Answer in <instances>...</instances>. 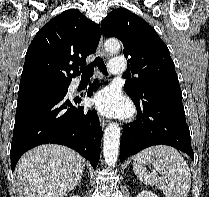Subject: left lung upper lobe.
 I'll return each mask as SVG.
<instances>
[{"instance_id": "1", "label": "left lung upper lobe", "mask_w": 209, "mask_h": 197, "mask_svg": "<svg viewBox=\"0 0 209 197\" xmlns=\"http://www.w3.org/2000/svg\"><path fill=\"white\" fill-rule=\"evenodd\" d=\"M101 30L105 37H116L123 42L127 68L138 75L125 83L128 95L181 90L168 47L146 21L125 8H118L101 22Z\"/></svg>"}]
</instances>
